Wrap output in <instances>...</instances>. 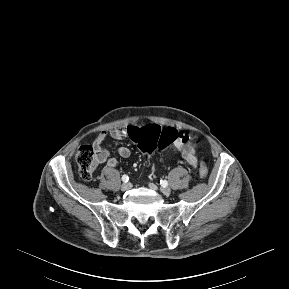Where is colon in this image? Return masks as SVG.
I'll use <instances>...</instances> for the list:
<instances>
[{
    "mask_svg": "<svg viewBox=\"0 0 289 289\" xmlns=\"http://www.w3.org/2000/svg\"><path fill=\"white\" fill-rule=\"evenodd\" d=\"M129 135L146 156L152 154L155 149H165L181 136L173 128L161 129L158 125L153 124L142 128L130 127ZM76 162L81 178L85 181H90L94 177L98 164L101 162L100 154L95 147L82 145L77 150ZM207 175V166L204 162H201L199 176L204 179Z\"/></svg>",
    "mask_w": 289,
    "mask_h": 289,
    "instance_id": "colon-1",
    "label": "colon"
}]
</instances>
